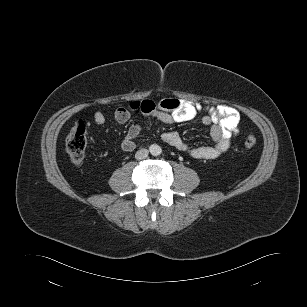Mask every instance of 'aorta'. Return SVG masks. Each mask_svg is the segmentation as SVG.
Masks as SVG:
<instances>
[{
    "label": "aorta",
    "mask_w": 307,
    "mask_h": 307,
    "mask_svg": "<svg viewBox=\"0 0 307 307\" xmlns=\"http://www.w3.org/2000/svg\"><path fill=\"white\" fill-rule=\"evenodd\" d=\"M150 153L153 156H158L162 153V149L159 145L153 144V145L150 146Z\"/></svg>",
    "instance_id": "762f6f07"
}]
</instances>
